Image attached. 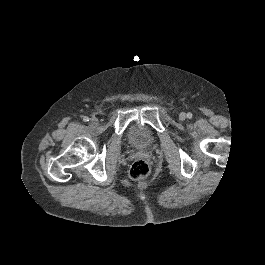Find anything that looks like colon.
I'll list each match as a JSON object with an SVG mask.
<instances>
[{"mask_svg": "<svg viewBox=\"0 0 265 265\" xmlns=\"http://www.w3.org/2000/svg\"><path fill=\"white\" fill-rule=\"evenodd\" d=\"M150 173V165L146 160L139 159L132 163L129 169V175L134 180H141Z\"/></svg>", "mask_w": 265, "mask_h": 265, "instance_id": "obj_1", "label": "colon"}]
</instances>
